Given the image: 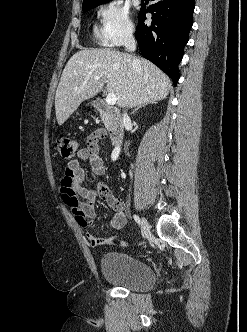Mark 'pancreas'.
<instances>
[{
  "label": "pancreas",
  "mask_w": 247,
  "mask_h": 332,
  "mask_svg": "<svg viewBox=\"0 0 247 332\" xmlns=\"http://www.w3.org/2000/svg\"><path fill=\"white\" fill-rule=\"evenodd\" d=\"M100 116H101L102 122L104 123L105 127L107 129H109L110 128V121H109V119L106 118V116L104 114H102V113L100 114Z\"/></svg>",
  "instance_id": "cf45deb5"
}]
</instances>
